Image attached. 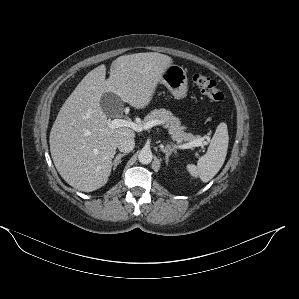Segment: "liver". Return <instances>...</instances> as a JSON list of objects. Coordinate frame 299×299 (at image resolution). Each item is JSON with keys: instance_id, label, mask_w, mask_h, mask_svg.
I'll list each match as a JSON object with an SVG mask.
<instances>
[{"instance_id": "liver-1", "label": "liver", "mask_w": 299, "mask_h": 299, "mask_svg": "<svg viewBox=\"0 0 299 299\" xmlns=\"http://www.w3.org/2000/svg\"><path fill=\"white\" fill-rule=\"evenodd\" d=\"M171 57L157 52L123 55L114 60L106 80L104 64L90 71L62 105L52 126L49 143L61 177L82 192L104 186L120 138L135 137L128 127L109 128L100 107L104 93H114L135 109L150 103Z\"/></svg>"}]
</instances>
